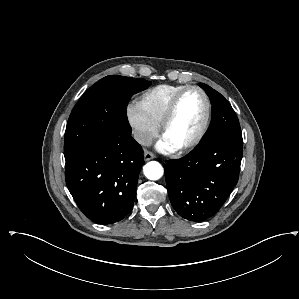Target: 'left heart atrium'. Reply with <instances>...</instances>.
<instances>
[{"mask_svg": "<svg viewBox=\"0 0 299 299\" xmlns=\"http://www.w3.org/2000/svg\"><path fill=\"white\" fill-rule=\"evenodd\" d=\"M157 148L161 151L164 152H169V151H173L175 150V146H173L172 144H170L167 140H165L164 138H162L158 143H157Z\"/></svg>", "mask_w": 299, "mask_h": 299, "instance_id": "left-heart-atrium-1", "label": "left heart atrium"}]
</instances>
